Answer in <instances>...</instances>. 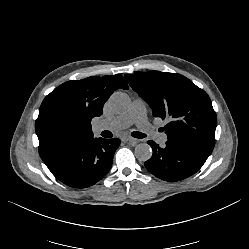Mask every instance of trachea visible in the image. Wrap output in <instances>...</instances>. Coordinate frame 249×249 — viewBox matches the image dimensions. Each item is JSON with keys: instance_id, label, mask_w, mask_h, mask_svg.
<instances>
[{"instance_id": "3493384b", "label": "trachea", "mask_w": 249, "mask_h": 249, "mask_svg": "<svg viewBox=\"0 0 249 249\" xmlns=\"http://www.w3.org/2000/svg\"><path fill=\"white\" fill-rule=\"evenodd\" d=\"M101 135H102L103 137H112V133L109 132V131H103ZM131 135H132L133 137H135V138H145V137H147L146 134L141 133V132H137V131L132 132Z\"/></svg>"}]
</instances>
